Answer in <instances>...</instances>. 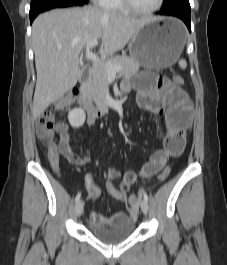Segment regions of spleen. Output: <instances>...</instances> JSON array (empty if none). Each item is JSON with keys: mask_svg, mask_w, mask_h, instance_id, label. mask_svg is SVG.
I'll use <instances>...</instances> for the list:
<instances>
[{"mask_svg": "<svg viewBox=\"0 0 227 265\" xmlns=\"http://www.w3.org/2000/svg\"><path fill=\"white\" fill-rule=\"evenodd\" d=\"M179 66H180L182 69H185V68L187 67L186 60H184V59H180V60H179Z\"/></svg>", "mask_w": 227, "mask_h": 265, "instance_id": "1", "label": "spleen"}]
</instances>
